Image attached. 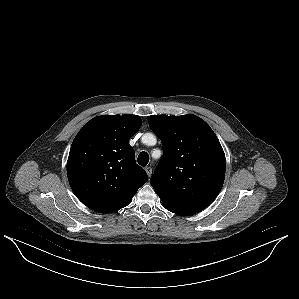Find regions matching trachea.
I'll return each instance as SVG.
<instances>
[{
	"label": "trachea",
	"instance_id": "3493384b",
	"mask_svg": "<svg viewBox=\"0 0 299 299\" xmlns=\"http://www.w3.org/2000/svg\"><path fill=\"white\" fill-rule=\"evenodd\" d=\"M138 164L141 166H146L149 162V155L147 152H141L138 156Z\"/></svg>",
	"mask_w": 299,
	"mask_h": 299
}]
</instances>
